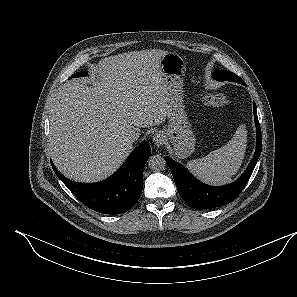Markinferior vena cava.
I'll return each instance as SVG.
<instances>
[{
  "label": "inferior vena cava",
  "mask_w": 297,
  "mask_h": 297,
  "mask_svg": "<svg viewBox=\"0 0 297 297\" xmlns=\"http://www.w3.org/2000/svg\"><path fill=\"white\" fill-rule=\"evenodd\" d=\"M140 136V130L138 128H131L126 132V136L125 139L128 142H134L135 140H137Z\"/></svg>",
  "instance_id": "1"
}]
</instances>
